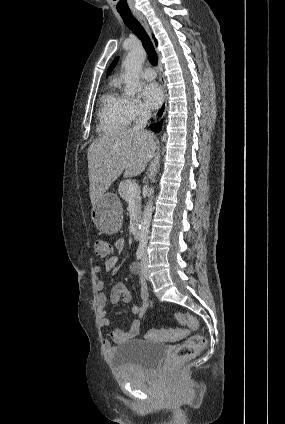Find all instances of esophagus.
<instances>
[{
	"instance_id": "34e87169",
	"label": "esophagus",
	"mask_w": 285,
	"mask_h": 424,
	"mask_svg": "<svg viewBox=\"0 0 285 424\" xmlns=\"http://www.w3.org/2000/svg\"><path fill=\"white\" fill-rule=\"evenodd\" d=\"M133 14L136 16V18L139 20L141 25L144 27L148 35L151 36V30L145 17L138 11H133ZM162 91H163L162 103L159 109L155 112L153 116L154 122L160 121L167 109V89H166L165 82H163L162 84Z\"/></svg>"
}]
</instances>
